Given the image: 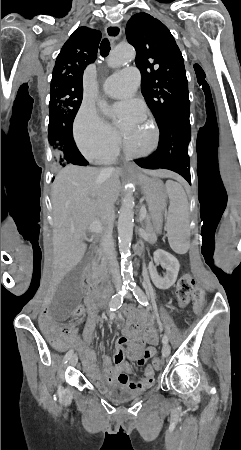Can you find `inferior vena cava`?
Masks as SVG:
<instances>
[{"instance_id":"1","label":"inferior vena cava","mask_w":241,"mask_h":450,"mask_svg":"<svg viewBox=\"0 0 241 450\" xmlns=\"http://www.w3.org/2000/svg\"><path fill=\"white\" fill-rule=\"evenodd\" d=\"M113 168H102L100 170L101 174H104V176H109V174H112ZM111 212H114L113 206H111ZM101 246L102 250L108 260L111 276L113 280H120V272L116 260V252H115V246H114V240L112 238V224H107V228L104 232V236H102L101 240Z\"/></svg>"}]
</instances>
